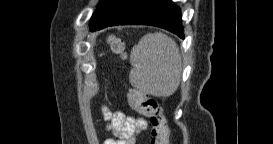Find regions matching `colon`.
Listing matches in <instances>:
<instances>
[{"label":"colon","mask_w":273,"mask_h":144,"mask_svg":"<svg viewBox=\"0 0 273 144\" xmlns=\"http://www.w3.org/2000/svg\"><path fill=\"white\" fill-rule=\"evenodd\" d=\"M111 45L116 51H121L123 48L121 41L118 39H113ZM129 102L134 110L149 119L151 124V144H169V127L157 100L141 90L132 89L129 93Z\"/></svg>","instance_id":"5ec220e1"}]
</instances>
